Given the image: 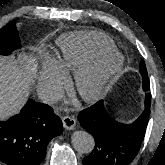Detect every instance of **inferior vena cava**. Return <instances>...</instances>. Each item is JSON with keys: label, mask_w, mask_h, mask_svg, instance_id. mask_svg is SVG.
Wrapping results in <instances>:
<instances>
[{"label": "inferior vena cava", "mask_w": 165, "mask_h": 165, "mask_svg": "<svg viewBox=\"0 0 165 165\" xmlns=\"http://www.w3.org/2000/svg\"><path fill=\"white\" fill-rule=\"evenodd\" d=\"M62 90L56 85L45 84L38 90V97L43 103L52 104L60 99Z\"/></svg>", "instance_id": "obj_1"}]
</instances>
